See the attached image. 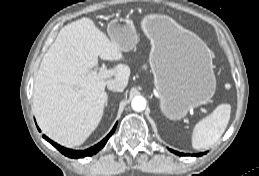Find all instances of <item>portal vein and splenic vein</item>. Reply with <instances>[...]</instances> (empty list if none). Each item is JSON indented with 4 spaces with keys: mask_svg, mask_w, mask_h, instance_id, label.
<instances>
[{
    "mask_svg": "<svg viewBox=\"0 0 259 176\" xmlns=\"http://www.w3.org/2000/svg\"><path fill=\"white\" fill-rule=\"evenodd\" d=\"M111 75V71L107 69V67L102 64L99 68H98V76L101 77V78H108L110 77ZM202 112L204 114H207L208 113V110L206 109H203Z\"/></svg>",
    "mask_w": 259,
    "mask_h": 176,
    "instance_id": "obj_1",
    "label": "portal vein and splenic vein"
}]
</instances>
